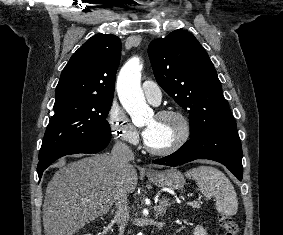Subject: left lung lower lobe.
<instances>
[{"label": "left lung lower lobe", "instance_id": "left-lung-lower-lobe-1", "mask_svg": "<svg viewBox=\"0 0 283 235\" xmlns=\"http://www.w3.org/2000/svg\"><path fill=\"white\" fill-rule=\"evenodd\" d=\"M196 159L214 160L225 165L242 180V147L238 132L231 129L190 138L179 150L153 163L178 166Z\"/></svg>", "mask_w": 283, "mask_h": 235}]
</instances>
